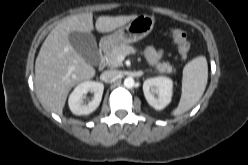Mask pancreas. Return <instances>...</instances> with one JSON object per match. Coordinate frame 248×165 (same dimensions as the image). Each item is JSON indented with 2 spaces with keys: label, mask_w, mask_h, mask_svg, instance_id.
I'll list each match as a JSON object with an SVG mask.
<instances>
[{
  "label": "pancreas",
  "mask_w": 248,
  "mask_h": 165,
  "mask_svg": "<svg viewBox=\"0 0 248 165\" xmlns=\"http://www.w3.org/2000/svg\"><path fill=\"white\" fill-rule=\"evenodd\" d=\"M136 50L134 47L127 44H120L114 47L108 54L106 58V64L109 67L117 68L123 65L122 60L118 58L120 56H127L131 53H135ZM157 70L161 73L170 74L172 72H176V69L169 62H161L157 65Z\"/></svg>",
  "instance_id": "pancreas-1"
}]
</instances>
